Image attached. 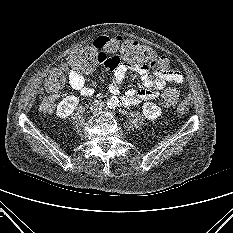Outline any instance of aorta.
<instances>
[{
  "label": "aorta",
  "mask_w": 233,
  "mask_h": 233,
  "mask_svg": "<svg viewBox=\"0 0 233 233\" xmlns=\"http://www.w3.org/2000/svg\"><path fill=\"white\" fill-rule=\"evenodd\" d=\"M117 104H118V99H117V97H115V96L111 97V98L108 100V106H109L110 108H115V107L117 106Z\"/></svg>",
  "instance_id": "1"
}]
</instances>
